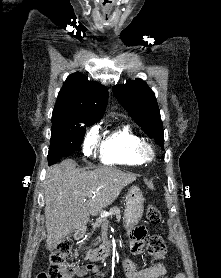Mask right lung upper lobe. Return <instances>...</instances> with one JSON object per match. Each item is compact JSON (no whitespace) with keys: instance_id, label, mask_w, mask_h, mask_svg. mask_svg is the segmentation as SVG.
<instances>
[{"instance_id":"1","label":"right lung upper lobe","mask_w":221,"mask_h":278,"mask_svg":"<svg viewBox=\"0 0 221 278\" xmlns=\"http://www.w3.org/2000/svg\"><path fill=\"white\" fill-rule=\"evenodd\" d=\"M108 103L105 86L88 81L80 72L68 76L58 93L52 117L86 120L90 124L99 121Z\"/></svg>"}]
</instances>
